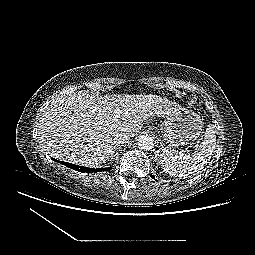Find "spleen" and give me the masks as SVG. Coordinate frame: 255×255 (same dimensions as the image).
I'll use <instances>...</instances> for the list:
<instances>
[{
    "label": "spleen",
    "instance_id": "spleen-1",
    "mask_svg": "<svg viewBox=\"0 0 255 255\" xmlns=\"http://www.w3.org/2000/svg\"><path fill=\"white\" fill-rule=\"evenodd\" d=\"M204 137L199 148L191 155L183 151L164 150L160 155L163 170L171 176L178 177L199 173L210 161L215 150L216 135L212 125H208Z\"/></svg>",
    "mask_w": 255,
    "mask_h": 255
}]
</instances>
